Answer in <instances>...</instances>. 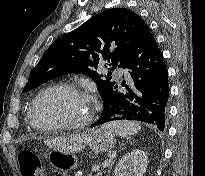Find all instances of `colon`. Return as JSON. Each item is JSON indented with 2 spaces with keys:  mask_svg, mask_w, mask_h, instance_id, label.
<instances>
[{
  "mask_svg": "<svg viewBox=\"0 0 205 176\" xmlns=\"http://www.w3.org/2000/svg\"><path fill=\"white\" fill-rule=\"evenodd\" d=\"M21 176H44L45 169L39 156L32 151L22 150L17 155Z\"/></svg>",
  "mask_w": 205,
  "mask_h": 176,
  "instance_id": "1",
  "label": "colon"
}]
</instances>
